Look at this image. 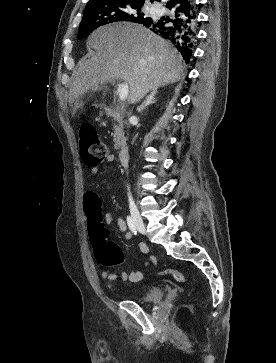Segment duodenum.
<instances>
[{
	"label": "duodenum",
	"mask_w": 276,
	"mask_h": 363,
	"mask_svg": "<svg viewBox=\"0 0 276 363\" xmlns=\"http://www.w3.org/2000/svg\"><path fill=\"white\" fill-rule=\"evenodd\" d=\"M104 113L108 117L121 118L122 112L114 107H104ZM129 158V148L123 145L118 153V160L122 166H126Z\"/></svg>",
	"instance_id": "duodenum-1"
}]
</instances>
